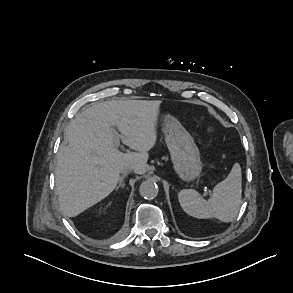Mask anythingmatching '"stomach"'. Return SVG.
Instances as JSON below:
<instances>
[{
    "mask_svg": "<svg viewBox=\"0 0 293 293\" xmlns=\"http://www.w3.org/2000/svg\"><path fill=\"white\" fill-rule=\"evenodd\" d=\"M163 132L169 149L173 169L183 181H193L202 170L199 150L191 135L172 116L163 121Z\"/></svg>",
    "mask_w": 293,
    "mask_h": 293,
    "instance_id": "1",
    "label": "stomach"
}]
</instances>
